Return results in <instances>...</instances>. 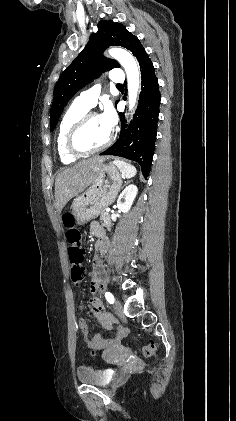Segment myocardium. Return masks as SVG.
Here are the masks:
<instances>
[{"mask_svg": "<svg viewBox=\"0 0 236 421\" xmlns=\"http://www.w3.org/2000/svg\"><path fill=\"white\" fill-rule=\"evenodd\" d=\"M93 116H100V115L94 111H86L72 123V125L70 126L66 134V138H65L66 148L72 155L76 157H85L93 153L99 152L105 149L106 147H108L113 140V133L110 131L108 138L99 146H96L91 149H82L79 146L78 134L80 132V129L85 124V122Z\"/></svg>", "mask_w": 236, "mask_h": 421, "instance_id": "obj_1", "label": "myocardium"}]
</instances>
